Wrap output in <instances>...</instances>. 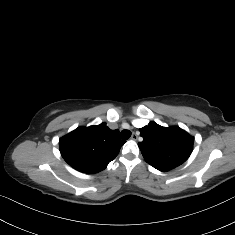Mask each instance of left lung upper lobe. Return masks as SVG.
Segmentation results:
<instances>
[{
	"label": "left lung upper lobe",
	"instance_id": "1",
	"mask_svg": "<svg viewBox=\"0 0 235 235\" xmlns=\"http://www.w3.org/2000/svg\"><path fill=\"white\" fill-rule=\"evenodd\" d=\"M143 141L138 143L147 163L158 169H174L183 164L193 150L194 138L183 129L162 127L155 122L139 129Z\"/></svg>",
	"mask_w": 235,
	"mask_h": 235
}]
</instances>
